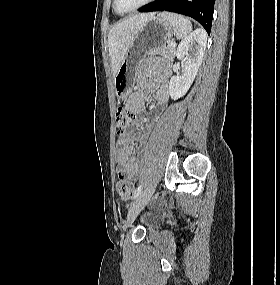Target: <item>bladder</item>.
<instances>
[{"label": "bladder", "mask_w": 280, "mask_h": 285, "mask_svg": "<svg viewBox=\"0 0 280 285\" xmlns=\"http://www.w3.org/2000/svg\"><path fill=\"white\" fill-rule=\"evenodd\" d=\"M155 220H156V219H155L154 217H148V218L144 219V223H145L146 225H150V224L154 223Z\"/></svg>", "instance_id": "obj_1"}]
</instances>
